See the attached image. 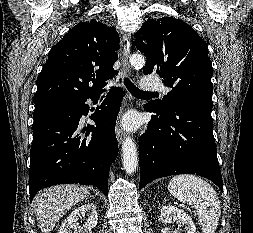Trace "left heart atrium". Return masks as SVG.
I'll return each mask as SVG.
<instances>
[{
    "label": "left heart atrium",
    "mask_w": 253,
    "mask_h": 233,
    "mask_svg": "<svg viewBox=\"0 0 253 233\" xmlns=\"http://www.w3.org/2000/svg\"><path fill=\"white\" fill-rule=\"evenodd\" d=\"M134 124H135L134 118L130 117L127 119V121H126L127 126H133Z\"/></svg>",
    "instance_id": "obj_1"
}]
</instances>
